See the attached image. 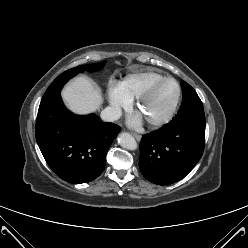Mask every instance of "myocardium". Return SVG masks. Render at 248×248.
<instances>
[{
    "label": "myocardium",
    "instance_id": "1",
    "mask_svg": "<svg viewBox=\"0 0 248 248\" xmlns=\"http://www.w3.org/2000/svg\"><path fill=\"white\" fill-rule=\"evenodd\" d=\"M164 83H173L176 86V90H177L176 98L172 107L164 116L158 119L147 121L151 126L157 127V126L165 125L174 118L181 101V96H182L181 87L175 79L163 78L150 85L140 96L137 97L136 107L137 109L140 110L143 107L144 103L147 101V99L153 94V92Z\"/></svg>",
    "mask_w": 248,
    "mask_h": 248
}]
</instances>
